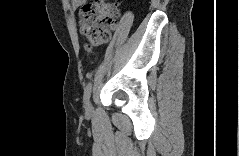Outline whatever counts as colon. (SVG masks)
<instances>
[{
	"label": "colon",
	"instance_id": "obj_1",
	"mask_svg": "<svg viewBox=\"0 0 239 156\" xmlns=\"http://www.w3.org/2000/svg\"><path fill=\"white\" fill-rule=\"evenodd\" d=\"M118 15L116 5L100 1L85 3L80 8V32L88 39L89 47H99L109 40Z\"/></svg>",
	"mask_w": 239,
	"mask_h": 156
}]
</instances>
